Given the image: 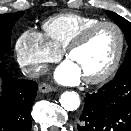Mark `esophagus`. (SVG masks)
Wrapping results in <instances>:
<instances>
[{
  "mask_svg": "<svg viewBox=\"0 0 131 131\" xmlns=\"http://www.w3.org/2000/svg\"><path fill=\"white\" fill-rule=\"evenodd\" d=\"M52 90H53V88L49 84H46V83H42L39 86V91L42 92V93H49Z\"/></svg>",
  "mask_w": 131,
  "mask_h": 131,
  "instance_id": "esophagus-1",
  "label": "esophagus"
}]
</instances>
